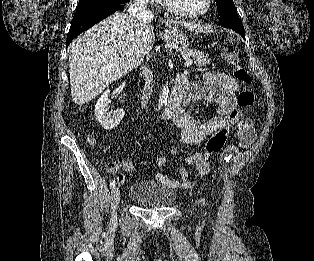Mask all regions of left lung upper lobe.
<instances>
[{
  "label": "left lung upper lobe",
  "instance_id": "left-lung-upper-lobe-1",
  "mask_svg": "<svg viewBox=\"0 0 314 261\" xmlns=\"http://www.w3.org/2000/svg\"><path fill=\"white\" fill-rule=\"evenodd\" d=\"M220 15L219 23L223 27L235 31H244L243 24L237 14L233 0H215Z\"/></svg>",
  "mask_w": 314,
  "mask_h": 261
}]
</instances>
